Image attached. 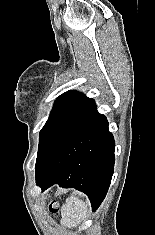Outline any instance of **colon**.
<instances>
[{
  "instance_id": "obj_1",
  "label": "colon",
  "mask_w": 155,
  "mask_h": 235,
  "mask_svg": "<svg viewBox=\"0 0 155 235\" xmlns=\"http://www.w3.org/2000/svg\"><path fill=\"white\" fill-rule=\"evenodd\" d=\"M49 209L52 211V212H56L58 210V205L57 203L55 202H52L49 206Z\"/></svg>"
}]
</instances>
